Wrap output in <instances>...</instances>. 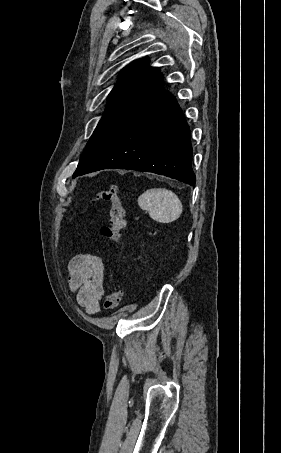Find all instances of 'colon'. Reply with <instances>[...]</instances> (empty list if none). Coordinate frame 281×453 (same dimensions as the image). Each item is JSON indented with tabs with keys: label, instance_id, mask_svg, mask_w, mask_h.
<instances>
[{
	"label": "colon",
	"instance_id": "1",
	"mask_svg": "<svg viewBox=\"0 0 281 453\" xmlns=\"http://www.w3.org/2000/svg\"><path fill=\"white\" fill-rule=\"evenodd\" d=\"M97 199L110 207V215L106 225L100 228V234L112 244L121 242V233L127 228L128 220L125 212V202L119 183H111L101 187L97 192ZM91 203H94L91 201ZM84 218V213H76L72 221L78 223ZM123 300V292L117 288L110 292L103 302L104 311L115 310Z\"/></svg>",
	"mask_w": 281,
	"mask_h": 453
}]
</instances>
